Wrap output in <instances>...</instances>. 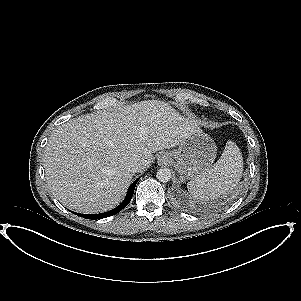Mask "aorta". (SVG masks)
<instances>
[{
	"label": "aorta",
	"instance_id": "obj_1",
	"mask_svg": "<svg viewBox=\"0 0 301 301\" xmlns=\"http://www.w3.org/2000/svg\"><path fill=\"white\" fill-rule=\"evenodd\" d=\"M156 178L163 183H166L168 181H170V179L172 178V174L170 169L168 168H160L158 169L157 173H156Z\"/></svg>",
	"mask_w": 301,
	"mask_h": 301
}]
</instances>
